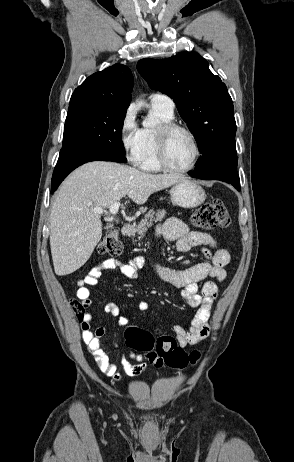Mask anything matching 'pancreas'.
I'll return each instance as SVG.
<instances>
[{"label": "pancreas", "mask_w": 294, "mask_h": 462, "mask_svg": "<svg viewBox=\"0 0 294 462\" xmlns=\"http://www.w3.org/2000/svg\"><path fill=\"white\" fill-rule=\"evenodd\" d=\"M165 214H166L165 210H157V212L154 211L153 209L149 210L145 214L144 219L141 220L140 224L136 228L135 232H137L138 238L142 239L145 236V233L148 230V228L152 226V222L162 221L165 218Z\"/></svg>", "instance_id": "1"}]
</instances>
